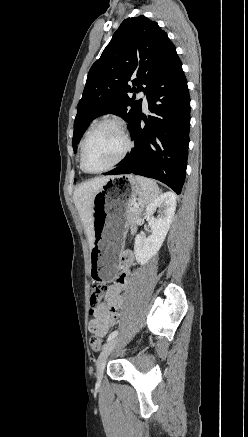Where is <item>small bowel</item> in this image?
<instances>
[{"label": "small bowel", "instance_id": "c3829d8e", "mask_svg": "<svg viewBox=\"0 0 248 437\" xmlns=\"http://www.w3.org/2000/svg\"><path fill=\"white\" fill-rule=\"evenodd\" d=\"M133 261V252L125 250L122 253L123 270L116 282L109 286L104 297V301L93 309V316L96 326L91 327L90 331L100 337H105L117 324L124 307L123 290L126 288L130 276V265Z\"/></svg>", "mask_w": 248, "mask_h": 437}]
</instances>
